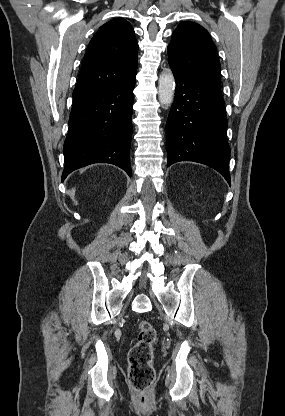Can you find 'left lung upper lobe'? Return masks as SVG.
Here are the masks:
<instances>
[{
	"mask_svg": "<svg viewBox=\"0 0 285 416\" xmlns=\"http://www.w3.org/2000/svg\"><path fill=\"white\" fill-rule=\"evenodd\" d=\"M168 62L181 73L207 86L220 89V62L207 30L185 21L177 26L168 46Z\"/></svg>",
	"mask_w": 285,
	"mask_h": 416,
	"instance_id": "left-lung-upper-lobe-1",
	"label": "left lung upper lobe"
}]
</instances>
